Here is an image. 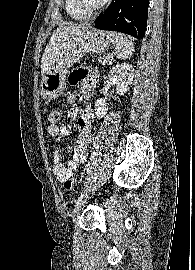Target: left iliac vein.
<instances>
[{"label": "left iliac vein", "instance_id": "obj_1", "mask_svg": "<svg viewBox=\"0 0 195 270\" xmlns=\"http://www.w3.org/2000/svg\"><path fill=\"white\" fill-rule=\"evenodd\" d=\"M85 203H86V199L82 200L78 205H76V207L73 211V221L74 222L77 221Z\"/></svg>", "mask_w": 195, "mask_h": 270}]
</instances>
